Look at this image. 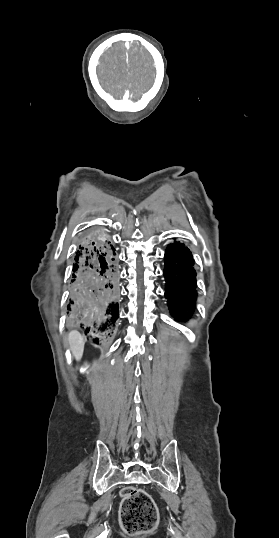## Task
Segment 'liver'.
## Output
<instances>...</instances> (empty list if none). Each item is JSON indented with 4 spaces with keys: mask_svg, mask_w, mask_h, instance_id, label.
<instances>
[{
    "mask_svg": "<svg viewBox=\"0 0 279 538\" xmlns=\"http://www.w3.org/2000/svg\"><path fill=\"white\" fill-rule=\"evenodd\" d=\"M68 342L75 360L79 362L84 352L85 340L83 336H81L80 332H77V330H71L68 334Z\"/></svg>",
    "mask_w": 279,
    "mask_h": 538,
    "instance_id": "6515ba94",
    "label": "liver"
}]
</instances>
